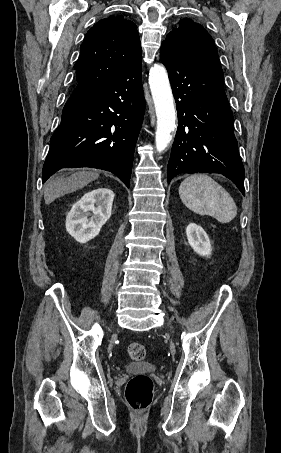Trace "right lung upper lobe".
Masks as SVG:
<instances>
[{
	"mask_svg": "<svg viewBox=\"0 0 281 453\" xmlns=\"http://www.w3.org/2000/svg\"><path fill=\"white\" fill-rule=\"evenodd\" d=\"M136 25L123 16L98 21L86 34L74 69L77 83L110 81L141 59Z\"/></svg>",
	"mask_w": 281,
	"mask_h": 453,
	"instance_id": "1",
	"label": "right lung upper lobe"
}]
</instances>
